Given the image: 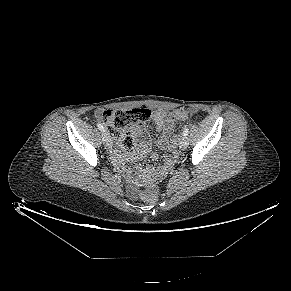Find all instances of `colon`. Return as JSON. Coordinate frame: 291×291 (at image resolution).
<instances>
[{
    "label": "colon",
    "instance_id": "colon-1",
    "mask_svg": "<svg viewBox=\"0 0 291 291\" xmlns=\"http://www.w3.org/2000/svg\"><path fill=\"white\" fill-rule=\"evenodd\" d=\"M190 112L183 109L175 110L171 116L173 119L185 120L189 117ZM151 116L148 109L138 108L131 110H114L110 109L100 116L110 135L124 148L128 154L136 152L134 142V130L136 127L145 124ZM143 198L150 203L158 199L156 188L150 187L143 193Z\"/></svg>",
    "mask_w": 291,
    "mask_h": 291
}]
</instances>
